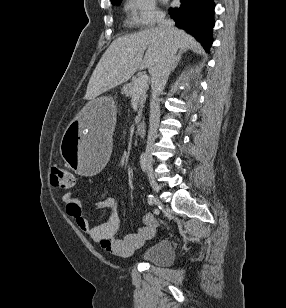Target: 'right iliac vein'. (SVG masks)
I'll list each match as a JSON object with an SVG mask.
<instances>
[{
  "instance_id": "1",
  "label": "right iliac vein",
  "mask_w": 286,
  "mask_h": 308,
  "mask_svg": "<svg viewBox=\"0 0 286 308\" xmlns=\"http://www.w3.org/2000/svg\"><path fill=\"white\" fill-rule=\"evenodd\" d=\"M147 171H148V177H149L150 185H151L154 193L157 194L159 187H158V184H157L155 177H154L153 164H152V160H151L150 157H149V160L147 162ZM156 201L158 202V200H156Z\"/></svg>"
}]
</instances>
